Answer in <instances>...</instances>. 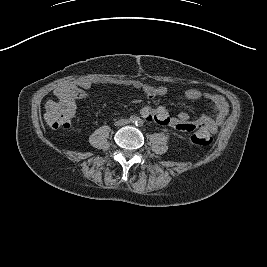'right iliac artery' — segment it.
<instances>
[{
    "label": "right iliac artery",
    "mask_w": 267,
    "mask_h": 267,
    "mask_svg": "<svg viewBox=\"0 0 267 267\" xmlns=\"http://www.w3.org/2000/svg\"><path fill=\"white\" fill-rule=\"evenodd\" d=\"M138 120H139V118H138L137 116H135V115H133V116H131V117L129 118V121H130L131 123H134V124H136V123L138 122Z\"/></svg>",
    "instance_id": "82829eb1"
}]
</instances>
